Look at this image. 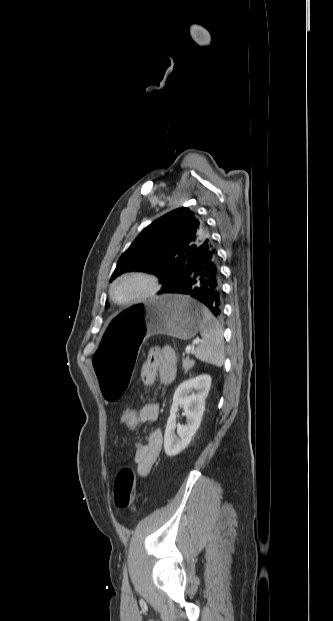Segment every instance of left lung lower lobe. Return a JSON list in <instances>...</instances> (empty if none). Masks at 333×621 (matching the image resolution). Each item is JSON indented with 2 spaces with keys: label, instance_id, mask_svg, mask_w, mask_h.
<instances>
[{
  "label": "left lung lower lobe",
  "instance_id": "0a47b994",
  "mask_svg": "<svg viewBox=\"0 0 333 621\" xmlns=\"http://www.w3.org/2000/svg\"><path fill=\"white\" fill-rule=\"evenodd\" d=\"M181 293L206 305L215 316L222 312L221 275L218 255L211 239L189 258L181 275L161 294Z\"/></svg>",
  "mask_w": 333,
  "mask_h": 621
}]
</instances>
